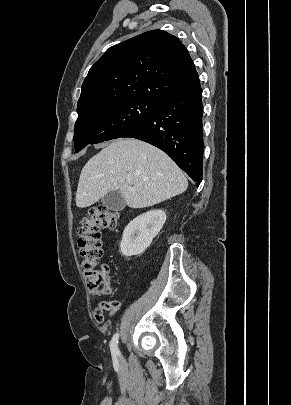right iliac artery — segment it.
I'll use <instances>...</instances> for the list:
<instances>
[{"instance_id":"82829eb1","label":"right iliac artery","mask_w":291,"mask_h":405,"mask_svg":"<svg viewBox=\"0 0 291 405\" xmlns=\"http://www.w3.org/2000/svg\"><path fill=\"white\" fill-rule=\"evenodd\" d=\"M118 339H119V334L116 333V334H114V336L112 337V340L110 342V350H111L112 356L114 358L120 357V352L118 350Z\"/></svg>"}]
</instances>
